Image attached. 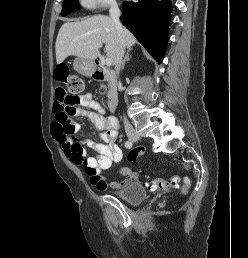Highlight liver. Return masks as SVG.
<instances>
[{
    "label": "liver",
    "instance_id": "obj_1",
    "mask_svg": "<svg viewBox=\"0 0 248 258\" xmlns=\"http://www.w3.org/2000/svg\"><path fill=\"white\" fill-rule=\"evenodd\" d=\"M123 35L125 45L130 50L136 43V39L126 28H123ZM103 44H105L107 57L115 64L118 35L110 17L96 15L80 22L64 23L59 30L55 44L57 64H61L68 56L94 62Z\"/></svg>",
    "mask_w": 248,
    "mask_h": 258
}]
</instances>
